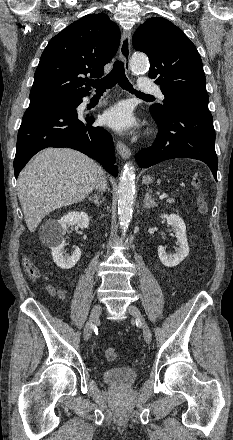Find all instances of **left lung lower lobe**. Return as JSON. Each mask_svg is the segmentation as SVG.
<instances>
[{
	"label": "left lung lower lobe",
	"instance_id": "0a47b994",
	"mask_svg": "<svg viewBox=\"0 0 233 440\" xmlns=\"http://www.w3.org/2000/svg\"><path fill=\"white\" fill-rule=\"evenodd\" d=\"M159 132L151 147L136 155L141 168L172 158H192L205 162L217 180V155L212 115L207 105L181 103L174 105L167 116L151 111Z\"/></svg>",
	"mask_w": 233,
	"mask_h": 440
}]
</instances>
